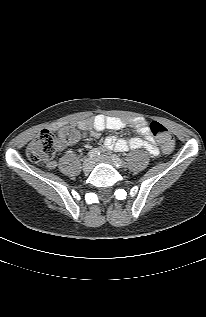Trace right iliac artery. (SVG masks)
<instances>
[{
	"label": "right iliac artery",
	"instance_id": "obj_1",
	"mask_svg": "<svg viewBox=\"0 0 206 317\" xmlns=\"http://www.w3.org/2000/svg\"><path fill=\"white\" fill-rule=\"evenodd\" d=\"M102 151L99 148L92 149L88 152L90 158L98 157Z\"/></svg>",
	"mask_w": 206,
	"mask_h": 317
}]
</instances>
